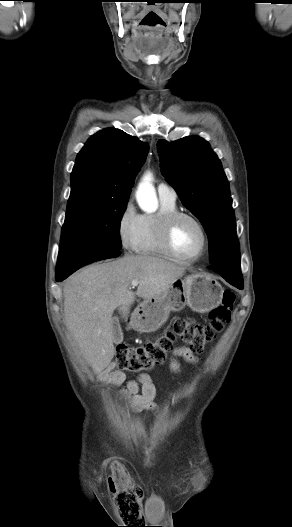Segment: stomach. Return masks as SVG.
<instances>
[{"instance_id":"obj_1","label":"stomach","mask_w":292,"mask_h":527,"mask_svg":"<svg viewBox=\"0 0 292 527\" xmlns=\"http://www.w3.org/2000/svg\"><path fill=\"white\" fill-rule=\"evenodd\" d=\"M223 289L211 276L195 273L185 276L166 293L145 300L131 318V326L140 333L159 329L171 311H181L189 306L198 313H207L222 301Z\"/></svg>"}]
</instances>
